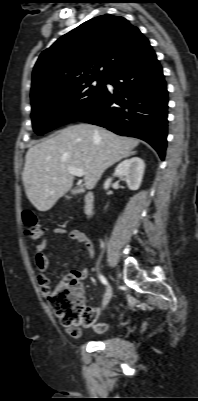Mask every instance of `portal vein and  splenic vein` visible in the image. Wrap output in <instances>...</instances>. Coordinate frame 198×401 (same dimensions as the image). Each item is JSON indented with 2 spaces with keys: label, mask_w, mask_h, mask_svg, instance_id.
<instances>
[{
  "label": "portal vein and splenic vein",
  "mask_w": 198,
  "mask_h": 401,
  "mask_svg": "<svg viewBox=\"0 0 198 401\" xmlns=\"http://www.w3.org/2000/svg\"><path fill=\"white\" fill-rule=\"evenodd\" d=\"M67 170L70 174L77 176V177H82L85 175L84 171L80 168L68 167Z\"/></svg>",
  "instance_id": "portal-vein-and-splenic-vein-1"
}]
</instances>
